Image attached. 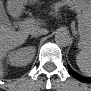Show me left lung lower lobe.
I'll use <instances>...</instances> for the list:
<instances>
[{"label": "left lung lower lobe", "instance_id": "0a47b994", "mask_svg": "<svg viewBox=\"0 0 91 91\" xmlns=\"http://www.w3.org/2000/svg\"><path fill=\"white\" fill-rule=\"evenodd\" d=\"M68 68H69V73H70L71 75H73L74 77H76V78H78V79H80V80L84 79V77H82L80 74H78V73H76L75 71H73V70L70 68V66H68Z\"/></svg>", "mask_w": 91, "mask_h": 91}]
</instances>
